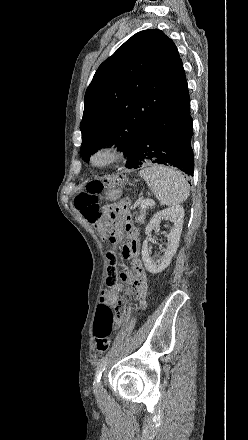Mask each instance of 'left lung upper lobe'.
I'll return each instance as SVG.
<instances>
[{"instance_id": "5c2ea615", "label": "left lung upper lobe", "mask_w": 248, "mask_h": 440, "mask_svg": "<svg viewBox=\"0 0 248 440\" xmlns=\"http://www.w3.org/2000/svg\"><path fill=\"white\" fill-rule=\"evenodd\" d=\"M187 89L173 41L158 29L133 35L99 66L86 90L83 159L103 144L129 155L146 127Z\"/></svg>"}]
</instances>
